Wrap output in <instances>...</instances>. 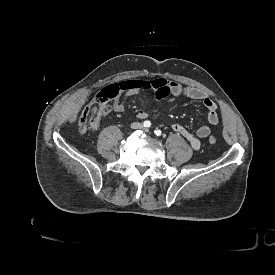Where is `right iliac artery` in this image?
<instances>
[{"instance_id":"right-iliac-artery-1","label":"right iliac artery","mask_w":275,"mask_h":275,"mask_svg":"<svg viewBox=\"0 0 275 275\" xmlns=\"http://www.w3.org/2000/svg\"><path fill=\"white\" fill-rule=\"evenodd\" d=\"M143 125H144V127H147V128H148V127L151 126V122L148 121V120H146V121H144Z\"/></svg>"}]
</instances>
